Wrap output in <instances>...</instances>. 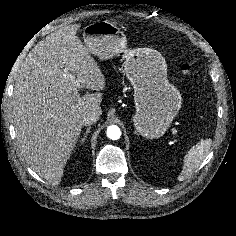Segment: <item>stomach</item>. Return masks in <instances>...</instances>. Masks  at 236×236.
Listing matches in <instances>:
<instances>
[{"label":"stomach","mask_w":236,"mask_h":236,"mask_svg":"<svg viewBox=\"0 0 236 236\" xmlns=\"http://www.w3.org/2000/svg\"><path fill=\"white\" fill-rule=\"evenodd\" d=\"M83 38L90 53L101 59L124 53V70L134 88V128L148 139L163 136L181 108L182 97L167 79L162 55L147 47L128 49L123 31L109 21L89 24Z\"/></svg>","instance_id":"obj_1"}]
</instances>
